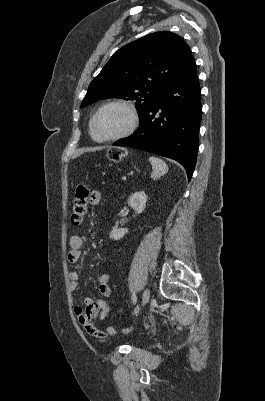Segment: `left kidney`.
<instances>
[{"instance_id":"left-kidney-1","label":"left kidney","mask_w":265,"mask_h":401,"mask_svg":"<svg viewBox=\"0 0 265 401\" xmlns=\"http://www.w3.org/2000/svg\"><path fill=\"white\" fill-rule=\"evenodd\" d=\"M129 207H132L136 213H143L146 203H147V194L143 192V190H139V192H132L131 196H129L127 201ZM128 233V229H112L109 233L110 239H114V241H119L122 239L124 235Z\"/></svg>"}]
</instances>
